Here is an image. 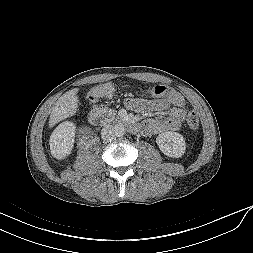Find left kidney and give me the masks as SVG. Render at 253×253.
Returning <instances> with one entry per match:
<instances>
[{"instance_id":"obj_1","label":"left kidney","mask_w":253,"mask_h":253,"mask_svg":"<svg viewBox=\"0 0 253 253\" xmlns=\"http://www.w3.org/2000/svg\"><path fill=\"white\" fill-rule=\"evenodd\" d=\"M156 143L163 154L172 158L181 157L186 150L184 137L177 132H164L157 136Z\"/></svg>"}]
</instances>
